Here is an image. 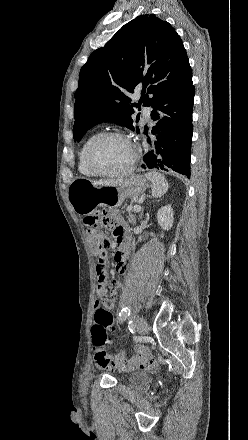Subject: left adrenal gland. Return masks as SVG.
I'll list each match as a JSON object with an SVG mask.
<instances>
[{
  "label": "left adrenal gland",
  "mask_w": 248,
  "mask_h": 440,
  "mask_svg": "<svg viewBox=\"0 0 248 440\" xmlns=\"http://www.w3.org/2000/svg\"><path fill=\"white\" fill-rule=\"evenodd\" d=\"M142 217V212H141V214H140V218Z\"/></svg>",
  "instance_id": "1"
}]
</instances>
